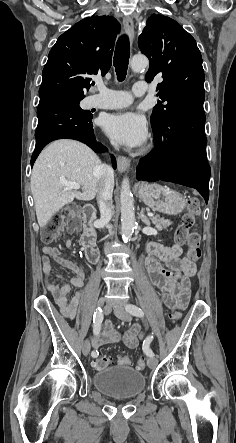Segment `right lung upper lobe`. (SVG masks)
<instances>
[{
  "mask_svg": "<svg viewBox=\"0 0 236 443\" xmlns=\"http://www.w3.org/2000/svg\"><path fill=\"white\" fill-rule=\"evenodd\" d=\"M120 24L112 16L87 17L63 33L43 69L39 96H84L91 75L104 76L111 67Z\"/></svg>",
  "mask_w": 236,
  "mask_h": 443,
  "instance_id": "1",
  "label": "right lung upper lobe"
}]
</instances>
